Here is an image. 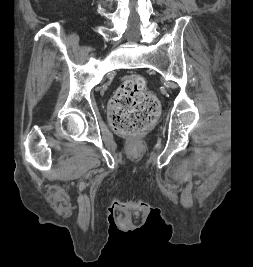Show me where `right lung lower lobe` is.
<instances>
[{"label": "right lung lower lobe", "instance_id": "98d812e1", "mask_svg": "<svg viewBox=\"0 0 253 267\" xmlns=\"http://www.w3.org/2000/svg\"><path fill=\"white\" fill-rule=\"evenodd\" d=\"M150 215L152 217H159L160 211L159 210H152L151 213H150Z\"/></svg>", "mask_w": 253, "mask_h": 267}]
</instances>
